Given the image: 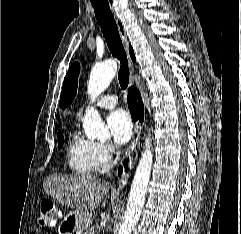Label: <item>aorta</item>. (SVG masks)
<instances>
[{
    "instance_id": "obj_1",
    "label": "aorta",
    "mask_w": 241,
    "mask_h": 234,
    "mask_svg": "<svg viewBox=\"0 0 241 234\" xmlns=\"http://www.w3.org/2000/svg\"><path fill=\"white\" fill-rule=\"evenodd\" d=\"M117 72V62L108 60L96 64L90 73L88 82V93L91 97L100 95L110 84ZM83 128L85 134L90 139H108L110 132L102 121L97 111L87 110L83 118ZM153 163L151 151V140L145 139L144 150L142 152L138 167L136 169L131 185L127 208L124 214L123 224L118 234H131L133 228L139 221L144 203L147 186L150 180Z\"/></svg>"
}]
</instances>
